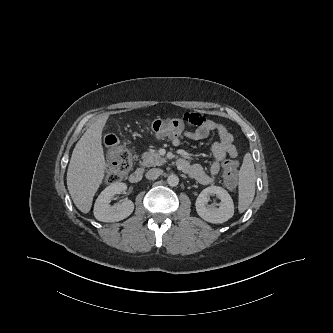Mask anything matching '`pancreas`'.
<instances>
[{
  "label": "pancreas",
  "instance_id": "pancreas-1",
  "mask_svg": "<svg viewBox=\"0 0 333 333\" xmlns=\"http://www.w3.org/2000/svg\"><path fill=\"white\" fill-rule=\"evenodd\" d=\"M141 158H142L141 165L145 167L161 166L164 163H166V159L163 158L160 154H158L154 150H150L149 152L143 153Z\"/></svg>",
  "mask_w": 333,
  "mask_h": 333
}]
</instances>
